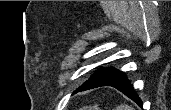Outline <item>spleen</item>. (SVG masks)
<instances>
[{"label": "spleen", "mask_w": 171, "mask_h": 110, "mask_svg": "<svg viewBox=\"0 0 171 110\" xmlns=\"http://www.w3.org/2000/svg\"><path fill=\"white\" fill-rule=\"evenodd\" d=\"M117 110H134V108H132L127 104H121L120 106L117 107Z\"/></svg>", "instance_id": "3e777b00"}]
</instances>
